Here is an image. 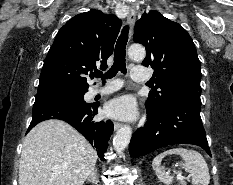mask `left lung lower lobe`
Returning a JSON list of instances; mask_svg holds the SVG:
<instances>
[{"label": "left lung lower lobe", "instance_id": "obj_1", "mask_svg": "<svg viewBox=\"0 0 233 185\" xmlns=\"http://www.w3.org/2000/svg\"><path fill=\"white\" fill-rule=\"evenodd\" d=\"M200 94L197 91L181 93L158 113L147 109L145 126L131 138L130 155L142 156L180 143L199 145L211 156L200 117Z\"/></svg>", "mask_w": 233, "mask_h": 185}]
</instances>
